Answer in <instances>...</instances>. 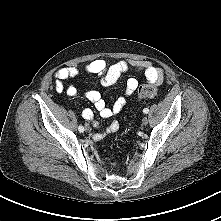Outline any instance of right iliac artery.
<instances>
[{"label": "right iliac artery", "mask_w": 221, "mask_h": 221, "mask_svg": "<svg viewBox=\"0 0 221 221\" xmlns=\"http://www.w3.org/2000/svg\"><path fill=\"white\" fill-rule=\"evenodd\" d=\"M78 130H79V132H84V127L83 126H79Z\"/></svg>", "instance_id": "right-iliac-artery-1"}]
</instances>
